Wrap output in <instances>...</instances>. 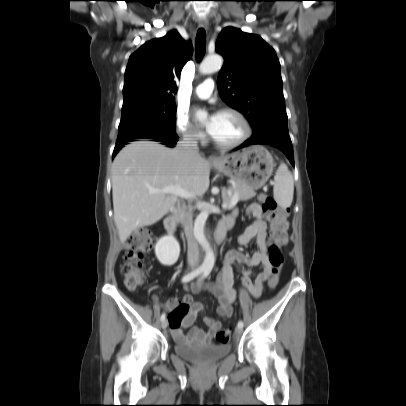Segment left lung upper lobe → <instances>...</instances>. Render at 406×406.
Returning <instances> with one entry per match:
<instances>
[{
    "mask_svg": "<svg viewBox=\"0 0 406 406\" xmlns=\"http://www.w3.org/2000/svg\"><path fill=\"white\" fill-rule=\"evenodd\" d=\"M216 51L224 57L217 85L221 98L250 122L253 135L289 137L280 63L260 36L234 27L222 30Z\"/></svg>",
    "mask_w": 406,
    "mask_h": 406,
    "instance_id": "obj_1",
    "label": "left lung upper lobe"
}]
</instances>
